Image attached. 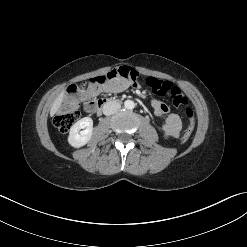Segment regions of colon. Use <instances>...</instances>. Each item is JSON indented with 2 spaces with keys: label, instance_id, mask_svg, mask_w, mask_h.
I'll list each match as a JSON object with an SVG mask.
<instances>
[{
  "label": "colon",
  "instance_id": "1",
  "mask_svg": "<svg viewBox=\"0 0 247 247\" xmlns=\"http://www.w3.org/2000/svg\"><path fill=\"white\" fill-rule=\"evenodd\" d=\"M116 77H130L131 80L135 82L137 74L135 71L126 67H120L100 78L90 76L83 85H73L69 91L70 98L63 102L61 111L54 118V124L57 129L62 133H66L79 119L80 112L77 110V104L75 102V97L77 95L89 91L90 89H95L98 87L99 83L111 81ZM147 84L153 93L160 96L169 95L175 106H185L184 112L188 119V126L183 134L182 140H188L194 130V112L190 107L186 106L188 99L185 94L171 83L156 78H148Z\"/></svg>",
  "mask_w": 247,
  "mask_h": 247
}]
</instances>
